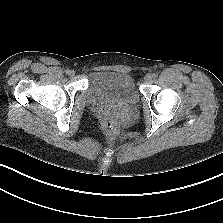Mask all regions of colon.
Masks as SVG:
<instances>
[{
    "label": "colon",
    "instance_id": "5ec220e1",
    "mask_svg": "<svg viewBox=\"0 0 223 223\" xmlns=\"http://www.w3.org/2000/svg\"><path fill=\"white\" fill-rule=\"evenodd\" d=\"M103 127L108 134H112L117 129V122L110 116H106L103 120Z\"/></svg>",
    "mask_w": 223,
    "mask_h": 223
}]
</instances>
